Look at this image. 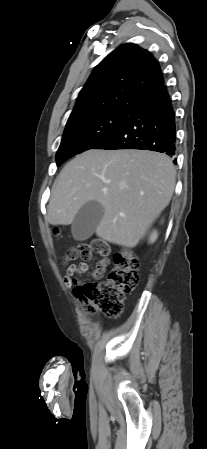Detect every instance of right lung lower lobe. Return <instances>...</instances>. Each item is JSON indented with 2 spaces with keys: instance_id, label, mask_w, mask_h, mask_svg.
Instances as JSON below:
<instances>
[{
  "instance_id": "1",
  "label": "right lung lower lobe",
  "mask_w": 207,
  "mask_h": 449,
  "mask_svg": "<svg viewBox=\"0 0 207 449\" xmlns=\"http://www.w3.org/2000/svg\"><path fill=\"white\" fill-rule=\"evenodd\" d=\"M175 118L172 100L167 93L134 111L121 128L93 149H147L174 157Z\"/></svg>"
}]
</instances>
